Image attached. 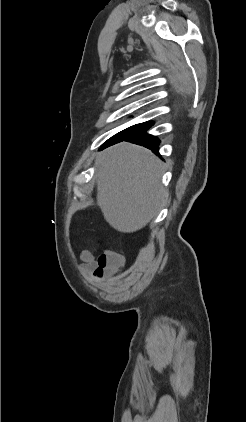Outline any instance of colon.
I'll use <instances>...</instances> for the list:
<instances>
[{
  "label": "colon",
  "instance_id": "1",
  "mask_svg": "<svg viewBox=\"0 0 246 422\" xmlns=\"http://www.w3.org/2000/svg\"><path fill=\"white\" fill-rule=\"evenodd\" d=\"M123 264V257L115 251L105 250L103 251L98 259L97 266L94 270V276L102 278L106 274L114 273Z\"/></svg>",
  "mask_w": 246,
  "mask_h": 422
}]
</instances>
